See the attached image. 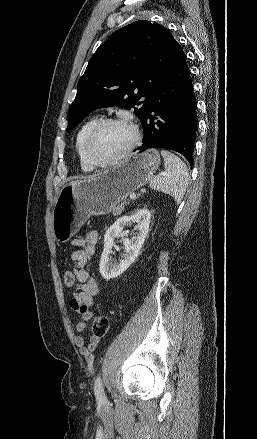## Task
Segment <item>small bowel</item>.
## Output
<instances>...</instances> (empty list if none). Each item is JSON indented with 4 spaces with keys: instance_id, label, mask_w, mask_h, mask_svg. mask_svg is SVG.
<instances>
[{
    "instance_id": "obj_1",
    "label": "small bowel",
    "mask_w": 257,
    "mask_h": 439,
    "mask_svg": "<svg viewBox=\"0 0 257 439\" xmlns=\"http://www.w3.org/2000/svg\"><path fill=\"white\" fill-rule=\"evenodd\" d=\"M98 239V231L90 230L85 236L77 237L71 242L72 246L77 248L72 252L71 259L75 262L72 272L77 281L76 287L78 291L70 300V307L82 318L75 326L76 334L74 341L81 355L88 363L93 362L94 352L100 343V337L94 334L89 337L88 343L85 342L82 336L88 329V320L93 316V313L90 311V306L93 304L94 297L99 292L97 281L86 269L88 261L95 253Z\"/></svg>"
}]
</instances>
